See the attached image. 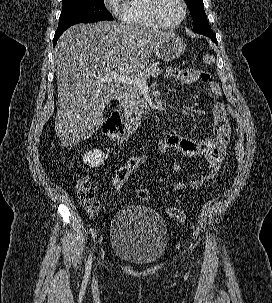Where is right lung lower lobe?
<instances>
[{"label":"right lung lower lobe","mask_w":272,"mask_h":303,"mask_svg":"<svg viewBox=\"0 0 272 303\" xmlns=\"http://www.w3.org/2000/svg\"><path fill=\"white\" fill-rule=\"evenodd\" d=\"M63 32H59V33H55V36H54V46L58 40V38L60 37V35L62 34Z\"/></svg>","instance_id":"1"}]
</instances>
